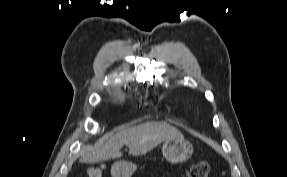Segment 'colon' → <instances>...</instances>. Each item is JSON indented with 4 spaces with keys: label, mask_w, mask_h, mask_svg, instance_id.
Masks as SVG:
<instances>
[{
    "label": "colon",
    "mask_w": 287,
    "mask_h": 177,
    "mask_svg": "<svg viewBox=\"0 0 287 177\" xmlns=\"http://www.w3.org/2000/svg\"><path fill=\"white\" fill-rule=\"evenodd\" d=\"M106 167L97 165L88 170V177H104ZM188 177H210V166L207 162L201 161L190 166Z\"/></svg>",
    "instance_id": "5ec220e1"
}]
</instances>
